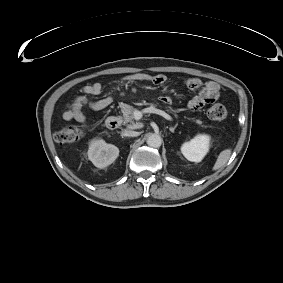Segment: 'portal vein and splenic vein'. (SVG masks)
I'll list each match as a JSON object with an SVG mask.
<instances>
[{
  "label": "portal vein and splenic vein",
  "mask_w": 283,
  "mask_h": 283,
  "mask_svg": "<svg viewBox=\"0 0 283 283\" xmlns=\"http://www.w3.org/2000/svg\"><path fill=\"white\" fill-rule=\"evenodd\" d=\"M145 113L158 114V115L164 117L166 120L172 121V117L169 114H167L165 111L157 109L153 106L144 108L142 111H138V110L135 111L134 118L138 121L142 118L143 114H145Z\"/></svg>",
  "instance_id": "18ae733b"
}]
</instances>
